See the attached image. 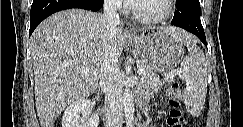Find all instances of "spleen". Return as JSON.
Instances as JSON below:
<instances>
[{
    "label": "spleen",
    "instance_id": "1",
    "mask_svg": "<svg viewBox=\"0 0 243 127\" xmlns=\"http://www.w3.org/2000/svg\"><path fill=\"white\" fill-rule=\"evenodd\" d=\"M188 47V55L181 63L182 76L187 85L183 91L186 107L192 114H199L207 94V64L205 55L191 36H177Z\"/></svg>",
    "mask_w": 243,
    "mask_h": 127
}]
</instances>
